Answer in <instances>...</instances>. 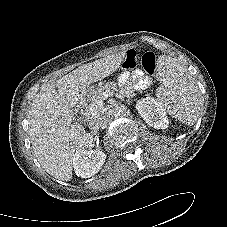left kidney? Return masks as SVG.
I'll return each instance as SVG.
<instances>
[{"mask_svg":"<svg viewBox=\"0 0 227 227\" xmlns=\"http://www.w3.org/2000/svg\"><path fill=\"white\" fill-rule=\"evenodd\" d=\"M136 109L144 121L155 129H166L169 121L162 104L152 97L137 101Z\"/></svg>","mask_w":227,"mask_h":227,"instance_id":"1","label":"left kidney"}]
</instances>
